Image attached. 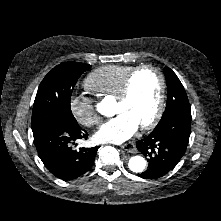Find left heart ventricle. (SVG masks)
<instances>
[{
	"mask_svg": "<svg viewBox=\"0 0 221 221\" xmlns=\"http://www.w3.org/2000/svg\"><path fill=\"white\" fill-rule=\"evenodd\" d=\"M159 93L160 81L156 73L143 71L135 77L129 98L125 102L116 101L114 113H125L140 126L154 116Z\"/></svg>",
	"mask_w": 221,
	"mask_h": 221,
	"instance_id": "b2bd125f",
	"label": "left heart ventricle"
}]
</instances>
